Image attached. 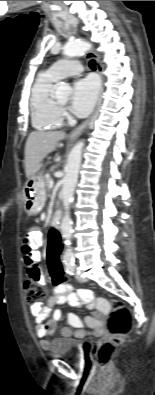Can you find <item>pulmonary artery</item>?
<instances>
[{"mask_svg": "<svg viewBox=\"0 0 155 395\" xmlns=\"http://www.w3.org/2000/svg\"><path fill=\"white\" fill-rule=\"evenodd\" d=\"M83 71L82 64L77 60H62L54 63L48 73L55 79H63L68 76L78 75Z\"/></svg>", "mask_w": 155, "mask_h": 395, "instance_id": "obj_1", "label": "pulmonary artery"}]
</instances>
